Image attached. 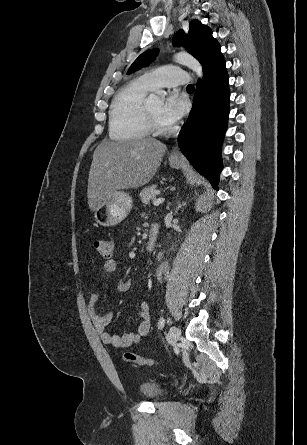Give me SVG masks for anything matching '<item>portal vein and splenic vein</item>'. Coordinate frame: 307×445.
Returning a JSON list of instances; mask_svg holds the SVG:
<instances>
[{
  "label": "portal vein and splenic vein",
  "instance_id": "portal-vein-and-splenic-vein-1",
  "mask_svg": "<svg viewBox=\"0 0 307 445\" xmlns=\"http://www.w3.org/2000/svg\"><path fill=\"white\" fill-rule=\"evenodd\" d=\"M165 198H156V200H153L154 206H159L161 202H164Z\"/></svg>",
  "mask_w": 307,
  "mask_h": 445
}]
</instances>
